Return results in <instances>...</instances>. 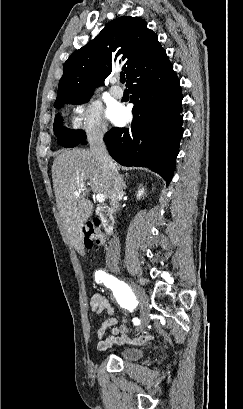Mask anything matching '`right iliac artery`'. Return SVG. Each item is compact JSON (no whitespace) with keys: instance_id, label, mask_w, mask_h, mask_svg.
Returning <instances> with one entry per match:
<instances>
[{"instance_id":"obj_1","label":"right iliac artery","mask_w":243,"mask_h":409,"mask_svg":"<svg viewBox=\"0 0 243 409\" xmlns=\"http://www.w3.org/2000/svg\"><path fill=\"white\" fill-rule=\"evenodd\" d=\"M95 280L97 283L103 282L106 287L110 288L121 306L129 310H133L135 306H137L138 302L136 301L134 294L132 293L130 287L123 281L118 280L114 276L102 270L95 272ZM133 322L135 325L140 324V320L138 318H134Z\"/></svg>"}]
</instances>
